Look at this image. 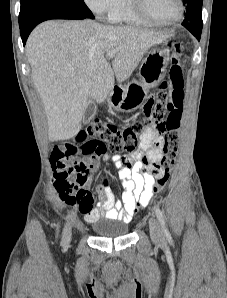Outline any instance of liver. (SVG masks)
I'll use <instances>...</instances> for the list:
<instances>
[{
    "label": "liver",
    "mask_w": 227,
    "mask_h": 298,
    "mask_svg": "<svg viewBox=\"0 0 227 298\" xmlns=\"http://www.w3.org/2000/svg\"><path fill=\"white\" fill-rule=\"evenodd\" d=\"M169 34L93 20L46 21L26 43L35 87L43 102L49 141L73 138L81 130L88 99L104 102L128 79L144 54ZM115 51L112 67L105 53Z\"/></svg>",
    "instance_id": "1"
}]
</instances>
